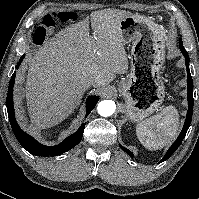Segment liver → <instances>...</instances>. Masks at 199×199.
Wrapping results in <instances>:
<instances>
[{
	"mask_svg": "<svg viewBox=\"0 0 199 199\" xmlns=\"http://www.w3.org/2000/svg\"><path fill=\"white\" fill-rule=\"evenodd\" d=\"M131 12L118 9L94 11L46 40L27 55L26 100L34 129L49 128L67 118L94 80L104 88L116 74L128 70V58L119 31L120 22Z\"/></svg>",
	"mask_w": 199,
	"mask_h": 199,
	"instance_id": "obj_1",
	"label": "liver"
}]
</instances>
